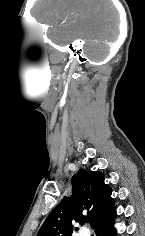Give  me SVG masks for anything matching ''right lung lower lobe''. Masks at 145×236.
Listing matches in <instances>:
<instances>
[{"instance_id": "obj_1", "label": "right lung lower lobe", "mask_w": 145, "mask_h": 236, "mask_svg": "<svg viewBox=\"0 0 145 236\" xmlns=\"http://www.w3.org/2000/svg\"><path fill=\"white\" fill-rule=\"evenodd\" d=\"M116 217V210L111 212L105 219L100 221L95 227L96 236H116V229L114 227V220Z\"/></svg>"}]
</instances>
